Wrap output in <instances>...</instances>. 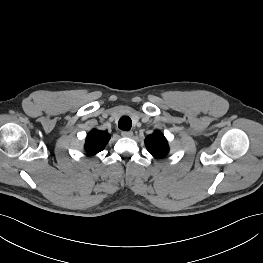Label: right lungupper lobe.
<instances>
[{
    "mask_svg": "<svg viewBox=\"0 0 263 263\" xmlns=\"http://www.w3.org/2000/svg\"><path fill=\"white\" fill-rule=\"evenodd\" d=\"M110 139L107 132L92 130L86 138L85 150L90 155H95L102 151Z\"/></svg>",
    "mask_w": 263,
    "mask_h": 263,
    "instance_id": "1",
    "label": "right lung upper lobe"
}]
</instances>
